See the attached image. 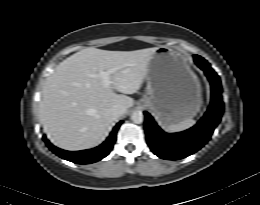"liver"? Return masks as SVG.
I'll use <instances>...</instances> for the list:
<instances>
[{"mask_svg":"<svg viewBox=\"0 0 260 205\" xmlns=\"http://www.w3.org/2000/svg\"><path fill=\"white\" fill-rule=\"evenodd\" d=\"M158 48L135 51H107L85 48L63 60L46 79L39 117L50 141L65 150L97 146L108 134L115 105L128 108L148 72ZM115 70L105 86L100 71ZM122 94H117L115 91Z\"/></svg>","mask_w":260,"mask_h":205,"instance_id":"1","label":"liver"}]
</instances>
